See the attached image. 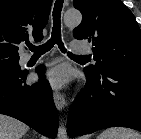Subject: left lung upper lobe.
Returning a JSON list of instances; mask_svg holds the SVG:
<instances>
[{
    "mask_svg": "<svg viewBox=\"0 0 141 139\" xmlns=\"http://www.w3.org/2000/svg\"><path fill=\"white\" fill-rule=\"evenodd\" d=\"M82 12L81 24L73 30L76 39L93 44L98 73L107 67L141 71V32L132 12L121 0H74Z\"/></svg>",
    "mask_w": 141,
    "mask_h": 139,
    "instance_id": "obj_1",
    "label": "left lung upper lobe"
}]
</instances>
